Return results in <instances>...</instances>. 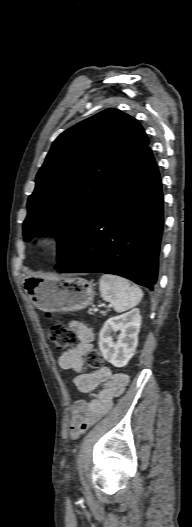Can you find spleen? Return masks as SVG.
<instances>
[{
    "instance_id": "3e777b00",
    "label": "spleen",
    "mask_w": 192,
    "mask_h": 527,
    "mask_svg": "<svg viewBox=\"0 0 192 527\" xmlns=\"http://www.w3.org/2000/svg\"><path fill=\"white\" fill-rule=\"evenodd\" d=\"M102 298L110 302L116 312L127 311L139 304L143 297L142 290L131 285L127 279L105 274L99 281Z\"/></svg>"
}]
</instances>
